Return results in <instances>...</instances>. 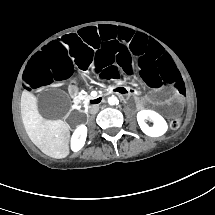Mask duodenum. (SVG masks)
<instances>
[{
    "label": "duodenum",
    "mask_w": 215,
    "mask_h": 215,
    "mask_svg": "<svg viewBox=\"0 0 215 215\" xmlns=\"http://www.w3.org/2000/svg\"><path fill=\"white\" fill-rule=\"evenodd\" d=\"M111 95L118 96L122 98L123 100H127L132 96V92L130 89L120 86H113L110 89H108L105 93L100 94L99 96L93 98L90 100V103L93 105L101 104L106 97H109ZM81 106L80 101H76L74 104L75 111H78Z\"/></svg>",
    "instance_id": "duodenum-1"
}]
</instances>
